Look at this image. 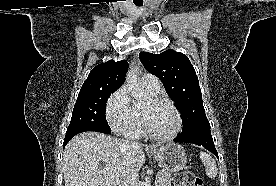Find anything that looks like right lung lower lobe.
Wrapping results in <instances>:
<instances>
[{
    "label": "right lung lower lobe",
    "instance_id": "right-lung-lower-lobe-1",
    "mask_svg": "<svg viewBox=\"0 0 276 186\" xmlns=\"http://www.w3.org/2000/svg\"><path fill=\"white\" fill-rule=\"evenodd\" d=\"M84 131H97L105 134H110L111 130H104V129H99V128H84V129H79L73 132L66 133L65 139H64V146L69 142V140L77 135L78 133L84 132Z\"/></svg>",
    "mask_w": 276,
    "mask_h": 186
}]
</instances>
